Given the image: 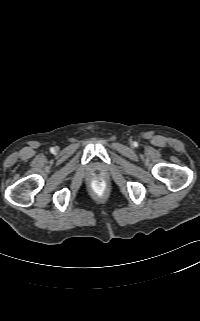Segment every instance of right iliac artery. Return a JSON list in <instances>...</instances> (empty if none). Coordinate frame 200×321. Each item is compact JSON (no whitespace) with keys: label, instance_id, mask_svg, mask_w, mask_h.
I'll list each match as a JSON object with an SVG mask.
<instances>
[{"label":"right iliac artery","instance_id":"obj_1","mask_svg":"<svg viewBox=\"0 0 200 321\" xmlns=\"http://www.w3.org/2000/svg\"><path fill=\"white\" fill-rule=\"evenodd\" d=\"M50 150H51V152H53V151H54V148H51Z\"/></svg>","mask_w":200,"mask_h":321}]
</instances>
